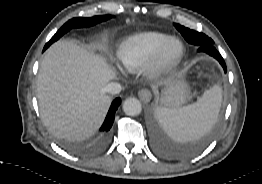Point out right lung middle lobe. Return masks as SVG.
Masks as SVG:
<instances>
[{"instance_id": "right-lung-middle-lobe-1", "label": "right lung middle lobe", "mask_w": 262, "mask_h": 184, "mask_svg": "<svg viewBox=\"0 0 262 184\" xmlns=\"http://www.w3.org/2000/svg\"><path fill=\"white\" fill-rule=\"evenodd\" d=\"M111 15H98L90 18H73L66 22L57 33L51 38V40L45 45L44 49L48 48L53 42L58 40L63 34L72 28L88 27L96 23L110 19Z\"/></svg>"}]
</instances>
